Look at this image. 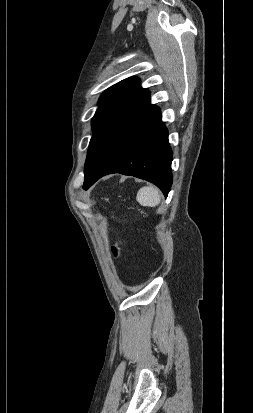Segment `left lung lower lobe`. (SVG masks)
Masks as SVG:
<instances>
[{
  "label": "left lung lower lobe",
  "instance_id": "left-lung-lower-lobe-1",
  "mask_svg": "<svg viewBox=\"0 0 253 413\" xmlns=\"http://www.w3.org/2000/svg\"><path fill=\"white\" fill-rule=\"evenodd\" d=\"M156 107L120 144L97 173L84 181L88 189L111 173L132 175L158 186L165 197L172 185V151L168 132Z\"/></svg>",
  "mask_w": 253,
  "mask_h": 413
}]
</instances>
